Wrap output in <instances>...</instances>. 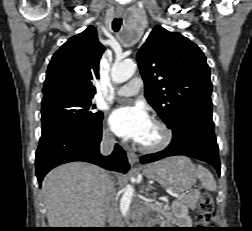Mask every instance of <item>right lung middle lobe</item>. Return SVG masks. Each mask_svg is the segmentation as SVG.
<instances>
[{
  "label": "right lung middle lobe",
  "mask_w": 252,
  "mask_h": 231,
  "mask_svg": "<svg viewBox=\"0 0 252 231\" xmlns=\"http://www.w3.org/2000/svg\"><path fill=\"white\" fill-rule=\"evenodd\" d=\"M93 97L76 94H58L42 100V132L61 125H76L86 128L98 127L103 118L95 111Z\"/></svg>",
  "instance_id": "dd1d6c3e"
}]
</instances>
